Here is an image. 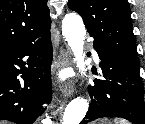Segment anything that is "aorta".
<instances>
[{
    "label": "aorta",
    "instance_id": "aorta-1",
    "mask_svg": "<svg viewBox=\"0 0 145 124\" xmlns=\"http://www.w3.org/2000/svg\"><path fill=\"white\" fill-rule=\"evenodd\" d=\"M62 33L74 54V61L81 74L85 75L84 39L86 35L82 18L76 13L65 15L62 21ZM89 104L86 99L77 97L66 107L62 124H79L88 111Z\"/></svg>",
    "mask_w": 145,
    "mask_h": 124
}]
</instances>
